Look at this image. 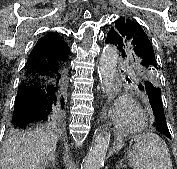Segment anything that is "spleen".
I'll return each mask as SVG.
<instances>
[{
  "instance_id": "obj_1",
  "label": "spleen",
  "mask_w": 177,
  "mask_h": 169,
  "mask_svg": "<svg viewBox=\"0 0 177 169\" xmlns=\"http://www.w3.org/2000/svg\"><path fill=\"white\" fill-rule=\"evenodd\" d=\"M130 146L127 159L133 169H173L168 147L157 134H138L130 141Z\"/></svg>"
}]
</instances>
